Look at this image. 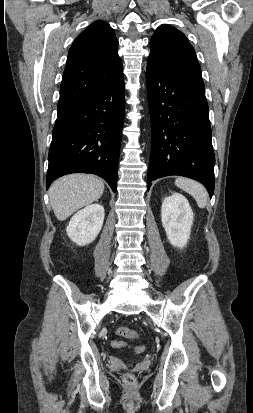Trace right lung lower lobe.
Segmentation results:
<instances>
[{
    "label": "right lung lower lobe",
    "instance_id": "1",
    "mask_svg": "<svg viewBox=\"0 0 253 413\" xmlns=\"http://www.w3.org/2000/svg\"><path fill=\"white\" fill-rule=\"evenodd\" d=\"M57 110L47 189L60 176L92 173L104 178L116 192L125 111L123 73L103 89Z\"/></svg>",
    "mask_w": 253,
    "mask_h": 413
}]
</instances>
